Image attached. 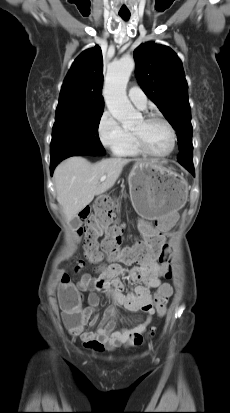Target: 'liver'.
I'll list each match as a JSON object with an SVG mask.
<instances>
[{
  "label": "liver",
  "mask_w": 230,
  "mask_h": 413,
  "mask_svg": "<svg viewBox=\"0 0 230 413\" xmlns=\"http://www.w3.org/2000/svg\"><path fill=\"white\" fill-rule=\"evenodd\" d=\"M131 160L108 158L91 164L74 156L60 163L54 172L57 201L67 222H70L95 196L109 190L119 178L123 167ZM106 176L105 181L100 178Z\"/></svg>",
  "instance_id": "liver-1"
}]
</instances>
